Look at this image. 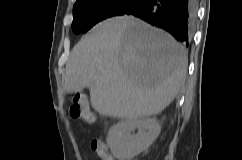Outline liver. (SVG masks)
I'll use <instances>...</instances> for the list:
<instances>
[{
	"label": "liver",
	"instance_id": "1",
	"mask_svg": "<svg viewBox=\"0 0 242 160\" xmlns=\"http://www.w3.org/2000/svg\"><path fill=\"white\" fill-rule=\"evenodd\" d=\"M185 48L162 30L132 17L107 19L73 48L66 64L67 93L90 90L101 115L143 119L160 113L185 80Z\"/></svg>",
	"mask_w": 242,
	"mask_h": 160
}]
</instances>
